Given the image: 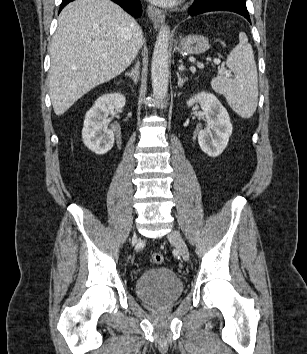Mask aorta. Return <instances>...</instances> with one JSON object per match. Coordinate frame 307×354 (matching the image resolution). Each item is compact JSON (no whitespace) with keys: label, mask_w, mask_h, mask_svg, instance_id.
<instances>
[{"label":"aorta","mask_w":307,"mask_h":354,"mask_svg":"<svg viewBox=\"0 0 307 354\" xmlns=\"http://www.w3.org/2000/svg\"><path fill=\"white\" fill-rule=\"evenodd\" d=\"M169 40L170 28L167 25H164L158 33L151 64L153 95L158 100H163L168 92Z\"/></svg>","instance_id":"762f6f07"}]
</instances>
